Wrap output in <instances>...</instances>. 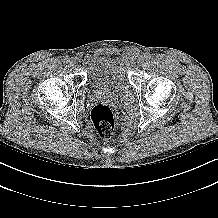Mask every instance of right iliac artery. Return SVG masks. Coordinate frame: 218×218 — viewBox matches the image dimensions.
I'll return each mask as SVG.
<instances>
[{"instance_id":"obj_1","label":"right iliac artery","mask_w":218,"mask_h":218,"mask_svg":"<svg viewBox=\"0 0 218 218\" xmlns=\"http://www.w3.org/2000/svg\"><path fill=\"white\" fill-rule=\"evenodd\" d=\"M62 61L63 63H68L69 57L68 56L63 57Z\"/></svg>"}]
</instances>
